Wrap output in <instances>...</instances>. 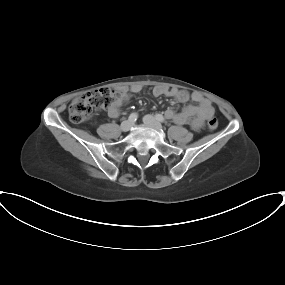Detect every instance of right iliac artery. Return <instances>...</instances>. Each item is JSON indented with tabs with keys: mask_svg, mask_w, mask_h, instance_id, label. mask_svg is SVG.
Wrapping results in <instances>:
<instances>
[{
	"mask_svg": "<svg viewBox=\"0 0 285 285\" xmlns=\"http://www.w3.org/2000/svg\"><path fill=\"white\" fill-rule=\"evenodd\" d=\"M137 118H138V114L137 113H132L129 116V121L135 122L137 120Z\"/></svg>",
	"mask_w": 285,
	"mask_h": 285,
	"instance_id": "right-iliac-artery-1",
	"label": "right iliac artery"
}]
</instances>
